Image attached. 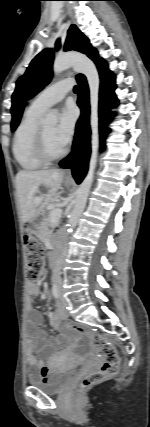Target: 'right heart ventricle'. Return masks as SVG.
Returning a JSON list of instances; mask_svg holds the SVG:
<instances>
[{"label":"right heart ventricle","instance_id":"obj_1","mask_svg":"<svg viewBox=\"0 0 150 427\" xmlns=\"http://www.w3.org/2000/svg\"><path fill=\"white\" fill-rule=\"evenodd\" d=\"M42 114V111L30 106L14 135L13 154L21 169L25 171L39 170L44 166L35 155V138Z\"/></svg>","mask_w":150,"mask_h":427}]
</instances>
